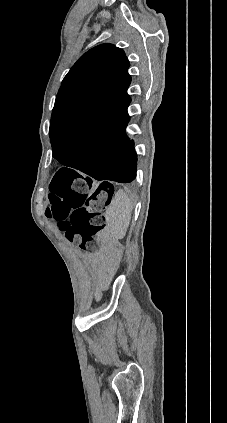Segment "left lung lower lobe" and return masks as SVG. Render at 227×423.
I'll return each instance as SVG.
<instances>
[{
  "label": "left lung lower lobe",
  "mask_w": 227,
  "mask_h": 423,
  "mask_svg": "<svg viewBox=\"0 0 227 423\" xmlns=\"http://www.w3.org/2000/svg\"><path fill=\"white\" fill-rule=\"evenodd\" d=\"M128 122L127 112L90 122L75 134L52 143L53 157L99 181L131 182L136 177L137 155L125 132ZM62 172L81 177L72 169L63 168Z\"/></svg>",
  "instance_id": "obj_1"
}]
</instances>
